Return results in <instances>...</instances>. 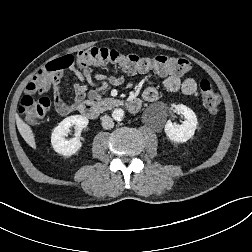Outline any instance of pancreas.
<instances>
[{
	"label": "pancreas",
	"mask_w": 252,
	"mask_h": 252,
	"mask_svg": "<svg viewBox=\"0 0 252 252\" xmlns=\"http://www.w3.org/2000/svg\"><path fill=\"white\" fill-rule=\"evenodd\" d=\"M119 104V100L114 98L98 99L97 106L100 111H106L112 109L114 106Z\"/></svg>",
	"instance_id": "pancreas-1"
}]
</instances>
